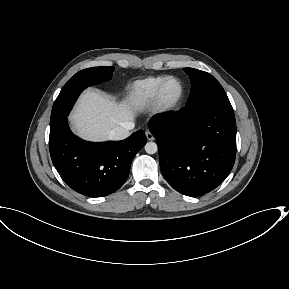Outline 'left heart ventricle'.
Listing matches in <instances>:
<instances>
[{"instance_id": "obj_1", "label": "left heart ventricle", "mask_w": 289, "mask_h": 289, "mask_svg": "<svg viewBox=\"0 0 289 289\" xmlns=\"http://www.w3.org/2000/svg\"><path fill=\"white\" fill-rule=\"evenodd\" d=\"M179 91V84L176 81H169L164 88L163 96L165 100L170 101L177 97Z\"/></svg>"}]
</instances>
